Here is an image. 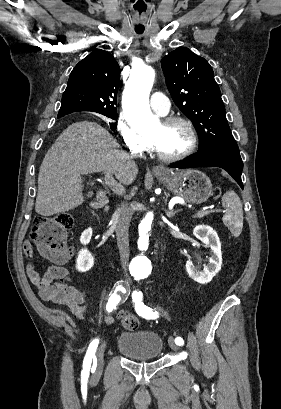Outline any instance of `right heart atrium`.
I'll use <instances>...</instances> for the list:
<instances>
[{"instance_id": "right-heart-atrium-1", "label": "right heart atrium", "mask_w": 281, "mask_h": 409, "mask_svg": "<svg viewBox=\"0 0 281 409\" xmlns=\"http://www.w3.org/2000/svg\"><path fill=\"white\" fill-rule=\"evenodd\" d=\"M141 115H122V110L116 120V129L122 144L130 150H138L144 145V139L137 133L138 119Z\"/></svg>"}]
</instances>
